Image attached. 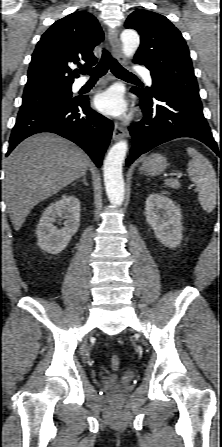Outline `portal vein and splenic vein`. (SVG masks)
<instances>
[{
    "instance_id": "portal-vein-and-splenic-vein-1",
    "label": "portal vein and splenic vein",
    "mask_w": 222,
    "mask_h": 447,
    "mask_svg": "<svg viewBox=\"0 0 222 447\" xmlns=\"http://www.w3.org/2000/svg\"><path fill=\"white\" fill-rule=\"evenodd\" d=\"M181 177H182V174H179V175H178V178H181Z\"/></svg>"
}]
</instances>
